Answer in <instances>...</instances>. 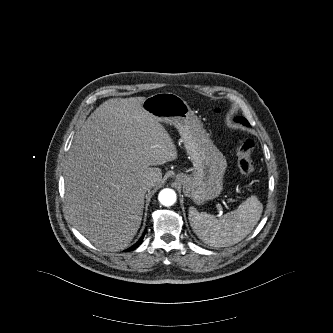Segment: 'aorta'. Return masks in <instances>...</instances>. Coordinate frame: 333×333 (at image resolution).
<instances>
[{"label": "aorta", "mask_w": 333, "mask_h": 333, "mask_svg": "<svg viewBox=\"0 0 333 333\" xmlns=\"http://www.w3.org/2000/svg\"><path fill=\"white\" fill-rule=\"evenodd\" d=\"M158 200L164 206H171L176 202V193L169 188L163 189L158 195Z\"/></svg>", "instance_id": "762f6f07"}]
</instances>
